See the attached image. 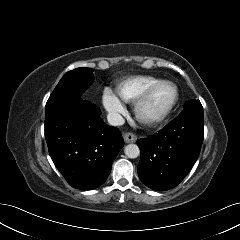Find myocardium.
Returning <instances> with one entry per match:
<instances>
[{
  "label": "myocardium",
  "mask_w": 240,
  "mask_h": 240,
  "mask_svg": "<svg viewBox=\"0 0 240 240\" xmlns=\"http://www.w3.org/2000/svg\"><path fill=\"white\" fill-rule=\"evenodd\" d=\"M163 86H172L175 89V97L170 104V106L162 113L156 116H147L143 113V107L147 103V101L151 98V96L161 87ZM180 99V92L178 86L171 81H160L151 87H149L142 95H140L136 101L134 102V114L139 122L147 126H155L162 123L166 120L170 114L176 108Z\"/></svg>",
  "instance_id": "1"
}]
</instances>
